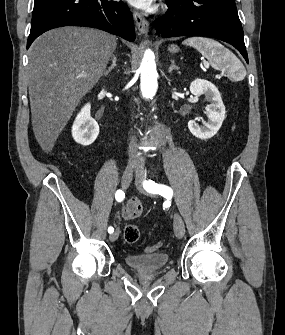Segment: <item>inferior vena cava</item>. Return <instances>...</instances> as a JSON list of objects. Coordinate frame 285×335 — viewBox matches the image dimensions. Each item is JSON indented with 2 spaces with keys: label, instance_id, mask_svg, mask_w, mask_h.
<instances>
[{
  "label": "inferior vena cava",
  "instance_id": "1",
  "mask_svg": "<svg viewBox=\"0 0 285 335\" xmlns=\"http://www.w3.org/2000/svg\"><path fill=\"white\" fill-rule=\"evenodd\" d=\"M129 162H130V164H139V162H140V158L137 154V146H136L134 140H132V142L129 146Z\"/></svg>",
  "mask_w": 285,
  "mask_h": 335
}]
</instances>
